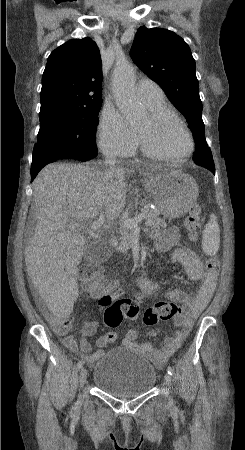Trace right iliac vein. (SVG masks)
<instances>
[{"label": "right iliac vein", "mask_w": 245, "mask_h": 450, "mask_svg": "<svg viewBox=\"0 0 245 450\" xmlns=\"http://www.w3.org/2000/svg\"><path fill=\"white\" fill-rule=\"evenodd\" d=\"M79 382H80L81 388H83L87 382V370L85 368H82L80 371Z\"/></svg>", "instance_id": "1"}]
</instances>
